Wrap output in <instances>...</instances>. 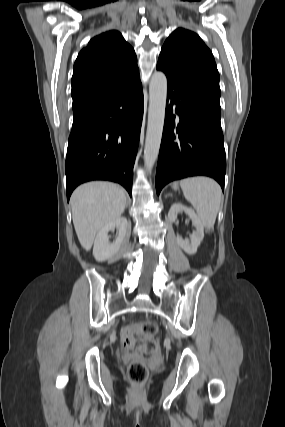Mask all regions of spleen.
<instances>
[{
  "label": "spleen",
  "instance_id": "3e777b00",
  "mask_svg": "<svg viewBox=\"0 0 285 427\" xmlns=\"http://www.w3.org/2000/svg\"><path fill=\"white\" fill-rule=\"evenodd\" d=\"M180 186L186 200L196 210L202 225L206 228H212L222 197L219 184L211 178L198 176L181 180Z\"/></svg>",
  "mask_w": 285,
  "mask_h": 427
}]
</instances>
